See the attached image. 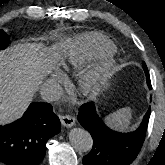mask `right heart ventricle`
<instances>
[{"label":"right heart ventricle","mask_w":165,"mask_h":165,"mask_svg":"<svg viewBox=\"0 0 165 165\" xmlns=\"http://www.w3.org/2000/svg\"><path fill=\"white\" fill-rule=\"evenodd\" d=\"M114 51V44L105 36L96 32L86 33L76 37L71 42L68 62L72 66H78L86 60L110 55L113 54Z\"/></svg>","instance_id":"obj_1"}]
</instances>
